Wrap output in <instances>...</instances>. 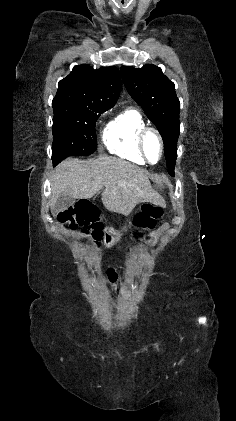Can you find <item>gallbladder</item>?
Returning <instances> with one entry per match:
<instances>
[{"label": "gallbladder", "mask_w": 236, "mask_h": 421, "mask_svg": "<svg viewBox=\"0 0 236 421\" xmlns=\"http://www.w3.org/2000/svg\"><path fill=\"white\" fill-rule=\"evenodd\" d=\"M75 200L76 198H73V196H65V194H61L53 206L54 215L62 213V211H68L69 206L74 204Z\"/></svg>", "instance_id": "obj_1"}]
</instances>
